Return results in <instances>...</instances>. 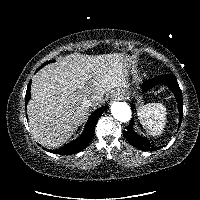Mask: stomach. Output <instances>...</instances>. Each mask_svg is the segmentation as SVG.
I'll return each instance as SVG.
<instances>
[{
	"mask_svg": "<svg viewBox=\"0 0 200 200\" xmlns=\"http://www.w3.org/2000/svg\"><path fill=\"white\" fill-rule=\"evenodd\" d=\"M119 91H122L124 95H128L129 94V90L128 89H119Z\"/></svg>",
	"mask_w": 200,
	"mask_h": 200,
	"instance_id": "obj_1",
	"label": "stomach"
}]
</instances>
